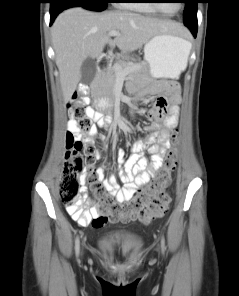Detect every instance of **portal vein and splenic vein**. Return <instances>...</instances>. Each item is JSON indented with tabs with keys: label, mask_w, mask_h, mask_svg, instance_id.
<instances>
[{
	"label": "portal vein and splenic vein",
	"mask_w": 239,
	"mask_h": 296,
	"mask_svg": "<svg viewBox=\"0 0 239 296\" xmlns=\"http://www.w3.org/2000/svg\"><path fill=\"white\" fill-rule=\"evenodd\" d=\"M119 34L120 33L118 31L113 30L108 33V36L113 37V36H118ZM135 69L136 68H134L132 66L127 67L125 69H122L120 66H116L115 71L118 76H125V75L129 74L130 72L134 71Z\"/></svg>",
	"instance_id": "1"
}]
</instances>
